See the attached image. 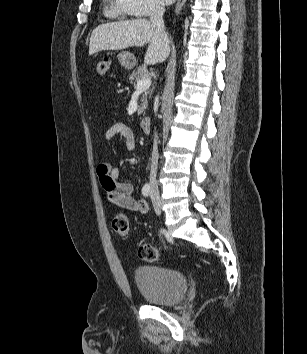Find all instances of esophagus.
Instances as JSON below:
<instances>
[{"mask_svg":"<svg viewBox=\"0 0 307 354\" xmlns=\"http://www.w3.org/2000/svg\"><path fill=\"white\" fill-rule=\"evenodd\" d=\"M185 2H186V0H178V2L176 4V7H175V11H174L176 15L181 11V9L184 6Z\"/></svg>","mask_w":307,"mask_h":354,"instance_id":"obj_1","label":"esophagus"}]
</instances>
